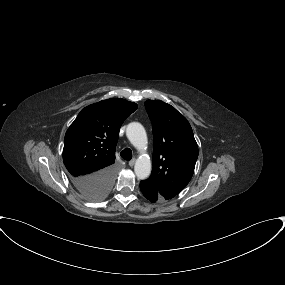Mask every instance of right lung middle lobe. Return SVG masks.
Returning <instances> with one entry per match:
<instances>
[{"label":"right lung middle lobe","instance_id":"1","mask_svg":"<svg viewBox=\"0 0 285 285\" xmlns=\"http://www.w3.org/2000/svg\"><path fill=\"white\" fill-rule=\"evenodd\" d=\"M107 194L108 193H97V194H94L90 197H87V199H89L91 201H98V200L105 198L107 196Z\"/></svg>","mask_w":285,"mask_h":285}]
</instances>
